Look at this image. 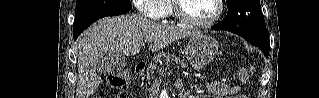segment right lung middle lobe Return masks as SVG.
Here are the masks:
<instances>
[{"label": "right lung middle lobe", "mask_w": 319, "mask_h": 98, "mask_svg": "<svg viewBox=\"0 0 319 98\" xmlns=\"http://www.w3.org/2000/svg\"><path fill=\"white\" fill-rule=\"evenodd\" d=\"M130 0H77L75 16L102 10H130Z\"/></svg>", "instance_id": "obj_1"}]
</instances>
